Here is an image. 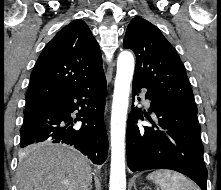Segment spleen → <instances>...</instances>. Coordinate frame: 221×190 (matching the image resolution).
I'll list each match as a JSON object with an SVG mask.
<instances>
[{
  "label": "spleen",
  "instance_id": "3e777b00",
  "mask_svg": "<svg viewBox=\"0 0 221 190\" xmlns=\"http://www.w3.org/2000/svg\"><path fill=\"white\" fill-rule=\"evenodd\" d=\"M161 190H200L184 175L170 170H155L147 176Z\"/></svg>",
  "mask_w": 221,
  "mask_h": 190
}]
</instances>
